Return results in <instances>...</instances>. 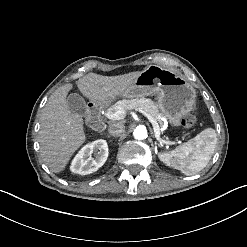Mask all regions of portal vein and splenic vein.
<instances>
[{"mask_svg": "<svg viewBox=\"0 0 247 247\" xmlns=\"http://www.w3.org/2000/svg\"><path fill=\"white\" fill-rule=\"evenodd\" d=\"M136 110H138L140 113H142L144 116L147 117V119L152 123L153 125V129H154V132H155V136H156V139L160 142V143H164V144H172V142L170 141H165V140H162L160 138V128H159V125L156 121V119L148 114L147 112H145L144 110H142L141 108H137ZM126 116V111L122 108H119L116 112H107L106 113V117L108 119H111V120H122L124 119ZM178 142L174 143V144H177Z\"/></svg>", "mask_w": 247, "mask_h": 247, "instance_id": "portal-vein-and-splenic-vein-1", "label": "portal vein and splenic vein"}]
</instances>
